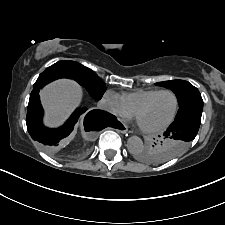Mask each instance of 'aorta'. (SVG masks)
Instances as JSON below:
<instances>
[{
    "label": "aorta",
    "instance_id": "762f6f07",
    "mask_svg": "<svg viewBox=\"0 0 225 225\" xmlns=\"http://www.w3.org/2000/svg\"><path fill=\"white\" fill-rule=\"evenodd\" d=\"M127 148L132 154L139 153L143 149V141L137 136H132L127 141Z\"/></svg>",
    "mask_w": 225,
    "mask_h": 225
}]
</instances>
